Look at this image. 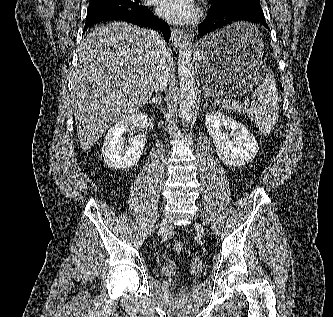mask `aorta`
I'll list each match as a JSON object with an SVG mask.
<instances>
[{
  "label": "aorta",
  "mask_w": 333,
  "mask_h": 317,
  "mask_svg": "<svg viewBox=\"0 0 333 317\" xmlns=\"http://www.w3.org/2000/svg\"><path fill=\"white\" fill-rule=\"evenodd\" d=\"M193 36L186 34L180 44L178 53L179 75V118L182 123L190 122L197 101L195 72L192 62Z\"/></svg>",
  "instance_id": "obj_1"
}]
</instances>
